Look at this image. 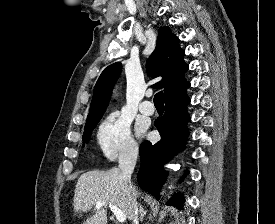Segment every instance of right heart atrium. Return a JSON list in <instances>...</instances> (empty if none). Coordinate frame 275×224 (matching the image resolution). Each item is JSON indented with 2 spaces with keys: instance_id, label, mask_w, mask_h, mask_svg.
I'll list each match as a JSON object with an SVG mask.
<instances>
[{
  "instance_id": "obj_1",
  "label": "right heart atrium",
  "mask_w": 275,
  "mask_h": 224,
  "mask_svg": "<svg viewBox=\"0 0 275 224\" xmlns=\"http://www.w3.org/2000/svg\"><path fill=\"white\" fill-rule=\"evenodd\" d=\"M96 140L101 153L108 160L133 158L138 154L130 122L119 112L109 114L100 123Z\"/></svg>"
}]
</instances>
